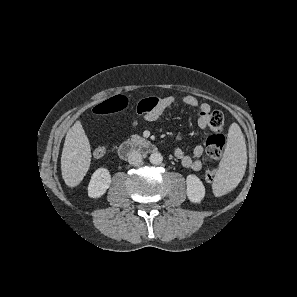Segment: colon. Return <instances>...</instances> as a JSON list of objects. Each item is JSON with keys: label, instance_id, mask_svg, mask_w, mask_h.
I'll list each match as a JSON object with an SVG mask.
<instances>
[{"label": "colon", "instance_id": "colon-1", "mask_svg": "<svg viewBox=\"0 0 297 297\" xmlns=\"http://www.w3.org/2000/svg\"><path fill=\"white\" fill-rule=\"evenodd\" d=\"M156 100L142 99L138 102L136 106V111L138 114H143L148 111L154 104ZM128 105V100L122 95L113 96L93 108V112L97 115H107L123 111ZM224 125V116L219 111H213L208 117V126L212 133L207 137L205 147H206V157L209 163H215L222 155L223 147L225 144V137L221 133L222 127ZM106 151L104 147H97L93 155L97 158H101L105 155ZM216 171L215 168L211 167L205 172V180L208 183H212L215 179Z\"/></svg>", "mask_w": 297, "mask_h": 297}]
</instances>
